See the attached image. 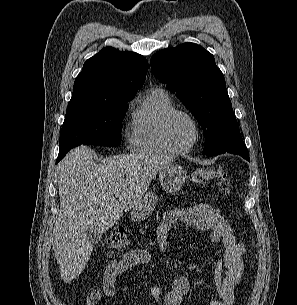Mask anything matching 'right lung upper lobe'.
Returning a JSON list of instances; mask_svg holds the SVG:
<instances>
[{
	"mask_svg": "<svg viewBox=\"0 0 297 305\" xmlns=\"http://www.w3.org/2000/svg\"><path fill=\"white\" fill-rule=\"evenodd\" d=\"M148 62L134 52L103 48L88 59L74 82L68 105L135 96L143 85Z\"/></svg>",
	"mask_w": 297,
	"mask_h": 305,
	"instance_id": "obj_1",
	"label": "right lung upper lobe"
}]
</instances>
